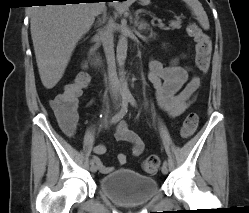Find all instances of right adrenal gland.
<instances>
[{
    "label": "right adrenal gland",
    "mask_w": 249,
    "mask_h": 213,
    "mask_svg": "<svg viewBox=\"0 0 249 213\" xmlns=\"http://www.w3.org/2000/svg\"><path fill=\"white\" fill-rule=\"evenodd\" d=\"M106 19H107V11L105 10V11L103 12V19H102V21L99 20V24L105 23V22H106Z\"/></svg>",
    "instance_id": "2a0ac1e0"
}]
</instances>
